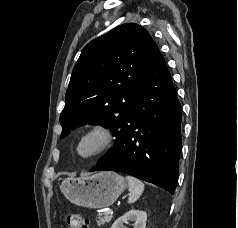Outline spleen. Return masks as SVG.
Listing matches in <instances>:
<instances>
[{
    "label": "spleen",
    "mask_w": 238,
    "mask_h": 228,
    "mask_svg": "<svg viewBox=\"0 0 238 228\" xmlns=\"http://www.w3.org/2000/svg\"><path fill=\"white\" fill-rule=\"evenodd\" d=\"M126 179L128 181V190L130 192L128 203H134L142 195L145 186L139 179L135 177L127 176Z\"/></svg>",
    "instance_id": "obj_1"
}]
</instances>
